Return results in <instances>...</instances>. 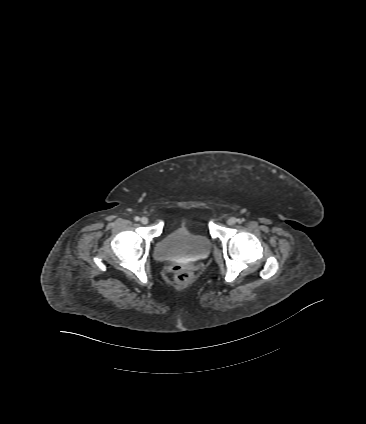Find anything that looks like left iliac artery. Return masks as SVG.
<instances>
[{
	"label": "left iliac artery",
	"instance_id": "left-iliac-artery-1",
	"mask_svg": "<svg viewBox=\"0 0 366 424\" xmlns=\"http://www.w3.org/2000/svg\"><path fill=\"white\" fill-rule=\"evenodd\" d=\"M244 221H245V219H244V218L238 219V222H239V223H242V222H244Z\"/></svg>",
	"mask_w": 366,
	"mask_h": 424
}]
</instances>
